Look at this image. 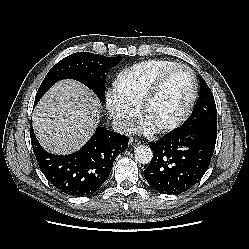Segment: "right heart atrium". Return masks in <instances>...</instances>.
Segmentation results:
<instances>
[{
    "mask_svg": "<svg viewBox=\"0 0 249 249\" xmlns=\"http://www.w3.org/2000/svg\"><path fill=\"white\" fill-rule=\"evenodd\" d=\"M106 109L120 131L128 132L132 129L138 116L136 110L121 102L113 94L107 96Z\"/></svg>",
    "mask_w": 249,
    "mask_h": 249,
    "instance_id": "1",
    "label": "right heart atrium"
}]
</instances>
